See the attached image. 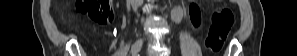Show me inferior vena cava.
<instances>
[{
  "label": "inferior vena cava",
  "mask_w": 297,
  "mask_h": 56,
  "mask_svg": "<svg viewBox=\"0 0 297 56\" xmlns=\"http://www.w3.org/2000/svg\"><path fill=\"white\" fill-rule=\"evenodd\" d=\"M142 2H143V0H137V3H138L139 5H141Z\"/></svg>",
  "instance_id": "1"
}]
</instances>
